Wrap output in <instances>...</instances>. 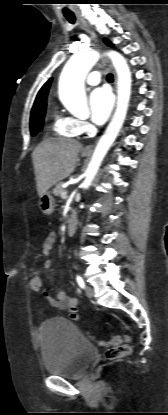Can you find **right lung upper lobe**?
Returning <instances> with one entry per match:
<instances>
[{
    "label": "right lung upper lobe",
    "instance_id": "1",
    "mask_svg": "<svg viewBox=\"0 0 168 415\" xmlns=\"http://www.w3.org/2000/svg\"><path fill=\"white\" fill-rule=\"evenodd\" d=\"M51 84V79L49 81H47L44 86L41 88V90L39 91L36 100L34 102L32 111L38 110L40 108L46 107V98H47V94H48V90Z\"/></svg>",
    "mask_w": 168,
    "mask_h": 415
}]
</instances>
